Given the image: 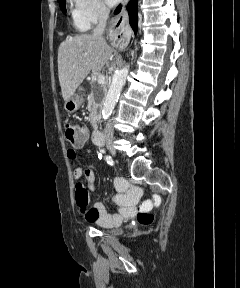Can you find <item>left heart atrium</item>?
<instances>
[{
    "label": "left heart atrium",
    "mask_w": 240,
    "mask_h": 288,
    "mask_svg": "<svg viewBox=\"0 0 240 288\" xmlns=\"http://www.w3.org/2000/svg\"><path fill=\"white\" fill-rule=\"evenodd\" d=\"M120 0H106L107 4L110 6L115 5L116 3H118Z\"/></svg>",
    "instance_id": "1"
}]
</instances>
